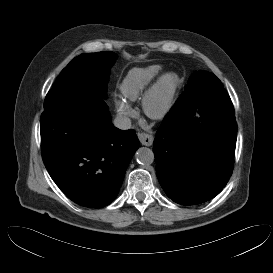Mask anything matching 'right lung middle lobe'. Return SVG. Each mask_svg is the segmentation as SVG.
Wrapping results in <instances>:
<instances>
[{
    "label": "right lung middle lobe",
    "mask_w": 273,
    "mask_h": 273,
    "mask_svg": "<svg viewBox=\"0 0 273 273\" xmlns=\"http://www.w3.org/2000/svg\"><path fill=\"white\" fill-rule=\"evenodd\" d=\"M116 57L112 51L84 53L75 57L47 93L44 108L58 99L80 92H91L106 98L110 67Z\"/></svg>",
    "instance_id": "dd1d6c3e"
}]
</instances>
